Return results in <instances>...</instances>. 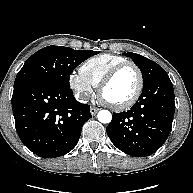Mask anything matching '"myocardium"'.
<instances>
[{"mask_svg": "<svg viewBox=\"0 0 193 193\" xmlns=\"http://www.w3.org/2000/svg\"><path fill=\"white\" fill-rule=\"evenodd\" d=\"M127 67H132L135 69L138 76V85L134 94L125 102L121 104H111L103 99L102 93L105 87L114 79V77L123 69ZM144 87V77L141 69L135 63L128 61L122 64L117 65L112 70H110L100 81L98 85V95L103 100V102L108 105L111 109L115 111H123L131 108L139 99Z\"/></svg>", "mask_w": 193, "mask_h": 193, "instance_id": "f54148a6", "label": "myocardium"}]
</instances>
